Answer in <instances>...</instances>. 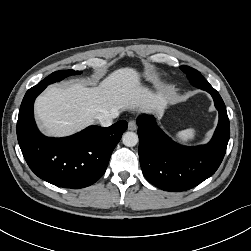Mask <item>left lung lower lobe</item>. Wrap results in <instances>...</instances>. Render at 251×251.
Segmentation results:
<instances>
[{"instance_id":"left-lung-lower-lobe-1","label":"left lung lower lobe","mask_w":251,"mask_h":251,"mask_svg":"<svg viewBox=\"0 0 251 251\" xmlns=\"http://www.w3.org/2000/svg\"><path fill=\"white\" fill-rule=\"evenodd\" d=\"M198 88L211 94L219 111L213 138L206 145L187 147L175 143L157 125L154 117L139 116V159L146 179L156 187L171 192L191 189L212 176L220 166L230 136L225 104L207 82Z\"/></svg>"}]
</instances>
